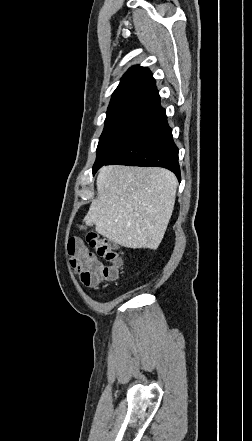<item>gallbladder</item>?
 Listing matches in <instances>:
<instances>
[{
    "label": "gallbladder",
    "mask_w": 252,
    "mask_h": 441,
    "mask_svg": "<svg viewBox=\"0 0 252 441\" xmlns=\"http://www.w3.org/2000/svg\"><path fill=\"white\" fill-rule=\"evenodd\" d=\"M89 226H92V223H87Z\"/></svg>",
    "instance_id": "obj_1"
}]
</instances>
